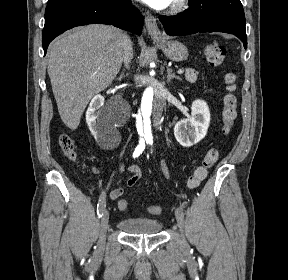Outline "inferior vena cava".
<instances>
[{
  "instance_id": "inferior-vena-cava-1",
  "label": "inferior vena cava",
  "mask_w": 288,
  "mask_h": 280,
  "mask_svg": "<svg viewBox=\"0 0 288 280\" xmlns=\"http://www.w3.org/2000/svg\"><path fill=\"white\" fill-rule=\"evenodd\" d=\"M133 58V48L132 42L128 36H124V52L123 60L126 66L131 62ZM128 67V66H127ZM142 76H136L137 81H142ZM144 83L148 82L147 78L143 79ZM149 85L155 86L154 94H156L155 100L153 102L152 109V126H162L163 121V105L166 101V97L170 96L169 89H162V85H159L157 78H149Z\"/></svg>"
}]
</instances>
